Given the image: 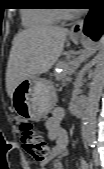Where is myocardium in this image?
Here are the masks:
<instances>
[{
    "instance_id": "myocardium-1",
    "label": "myocardium",
    "mask_w": 104,
    "mask_h": 169,
    "mask_svg": "<svg viewBox=\"0 0 104 169\" xmlns=\"http://www.w3.org/2000/svg\"><path fill=\"white\" fill-rule=\"evenodd\" d=\"M56 13L60 19H70L74 15L72 11L66 9H56Z\"/></svg>"
}]
</instances>
